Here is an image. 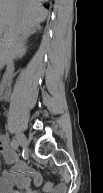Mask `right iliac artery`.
<instances>
[{
  "mask_svg": "<svg viewBox=\"0 0 103 193\" xmlns=\"http://www.w3.org/2000/svg\"><path fill=\"white\" fill-rule=\"evenodd\" d=\"M11 146H12L13 149L18 150V148H19V143H18V141L12 140V141H11Z\"/></svg>",
  "mask_w": 103,
  "mask_h": 193,
  "instance_id": "obj_1",
  "label": "right iliac artery"
}]
</instances>
